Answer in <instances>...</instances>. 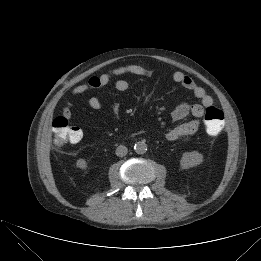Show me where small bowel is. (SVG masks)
Masks as SVG:
<instances>
[{"mask_svg": "<svg viewBox=\"0 0 261 261\" xmlns=\"http://www.w3.org/2000/svg\"><path fill=\"white\" fill-rule=\"evenodd\" d=\"M151 69L143 64H132L127 66H121L115 68L107 73L90 77L85 83L77 85L73 89V94L81 95L89 91L104 87L111 81L115 80V88L118 91H127L129 83L121 78L124 75H149ZM174 82L180 84L183 88L191 91L195 98L199 100V103L189 104L183 102L178 105L172 112L171 118L175 121H180L189 115L193 116L190 121L181 123L166 133V138L169 141H176L185 136L195 134L200 127V119L203 117L205 109L213 104V98L205 91V89L199 86L191 77L183 72L176 71L172 74ZM88 105L94 110H101L103 108L102 102L96 96H91L88 99ZM112 113L115 117H118L120 113V107L117 103H114L111 107ZM62 116L67 120H70L73 116L72 111L69 108H64Z\"/></svg>", "mask_w": 261, "mask_h": 261, "instance_id": "c3829d8e", "label": "small bowel"}]
</instances>
